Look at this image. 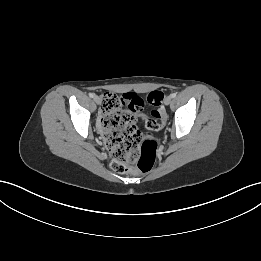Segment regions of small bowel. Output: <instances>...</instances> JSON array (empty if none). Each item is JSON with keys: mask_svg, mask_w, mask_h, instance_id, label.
Segmentation results:
<instances>
[{"mask_svg": "<svg viewBox=\"0 0 261 261\" xmlns=\"http://www.w3.org/2000/svg\"><path fill=\"white\" fill-rule=\"evenodd\" d=\"M131 94L134 95V93H131ZM127 95H128V94H127ZM127 95H126V96H127ZM125 98H126V97H125ZM141 110H142V109H141ZM142 114H143L142 111H141V113H140L139 115H134L131 111H129V115L131 116L132 123H135L136 118H137V117H141Z\"/></svg>", "mask_w": 261, "mask_h": 261, "instance_id": "obj_1", "label": "small bowel"}]
</instances>
